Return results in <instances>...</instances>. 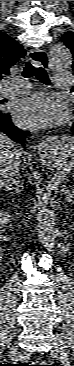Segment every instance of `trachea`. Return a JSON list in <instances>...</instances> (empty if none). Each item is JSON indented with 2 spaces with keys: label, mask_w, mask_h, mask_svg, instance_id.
<instances>
[{
  "label": "trachea",
  "mask_w": 74,
  "mask_h": 366,
  "mask_svg": "<svg viewBox=\"0 0 74 366\" xmlns=\"http://www.w3.org/2000/svg\"><path fill=\"white\" fill-rule=\"evenodd\" d=\"M22 75L24 78H30L32 76H35L40 82L46 85H51V81L44 68L35 66L30 61L26 63Z\"/></svg>",
  "instance_id": "obj_1"
}]
</instances>
